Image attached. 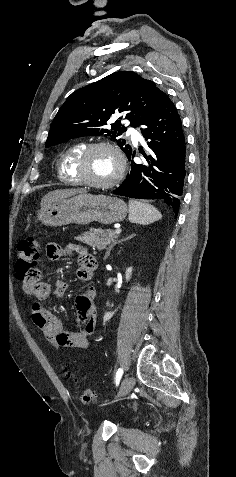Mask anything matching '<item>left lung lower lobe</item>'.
<instances>
[{
  "label": "left lung lower lobe",
  "mask_w": 236,
  "mask_h": 477,
  "mask_svg": "<svg viewBox=\"0 0 236 477\" xmlns=\"http://www.w3.org/2000/svg\"><path fill=\"white\" fill-rule=\"evenodd\" d=\"M150 154L148 164H136L135 152L128 157L131 172L114 194L139 199H158L178 214L186 176V146L182 122L174 103L161 93L157 112L142 132Z\"/></svg>",
  "instance_id": "obj_1"
}]
</instances>
